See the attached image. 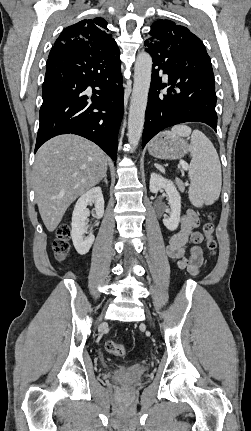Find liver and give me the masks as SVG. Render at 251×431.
<instances>
[{"label": "liver", "mask_w": 251, "mask_h": 431, "mask_svg": "<svg viewBox=\"0 0 251 431\" xmlns=\"http://www.w3.org/2000/svg\"><path fill=\"white\" fill-rule=\"evenodd\" d=\"M108 157L95 143L60 135L37 152L33 181L36 202L49 232L61 222L67 208L106 175Z\"/></svg>", "instance_id": "liver-1"}]
</instances>
